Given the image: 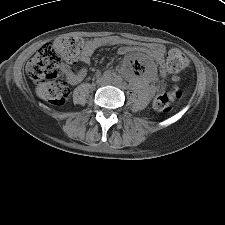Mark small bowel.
Instances as JSON below:
<instances>
[{"label": "small bowel", "instance_id": "small-bowel-1", "mask_svg": "<svg viewBox=\"0 0 225 225\" xmlns=\"http://www.w3.org/2000/svg\"><path fill=\"white\" fill-rule=\"evenodd\" d=\"M119 44H123V41L120 38L114 36L88 39L82 45L80 61L85 64H88L90 62L92 54L97 49L101 47L115 46ZM133 52L147 54L157 64H161L163 62L165 49L160 44H148L146 46L121 45L118 48V54L120 55H127ZM63 72L71 83H77L86 76L87 69L83 67L78 71H73L69 68L64 67Z\"/></svg>", "mask_w": 225, "mask_h": 225}]
</instances>
